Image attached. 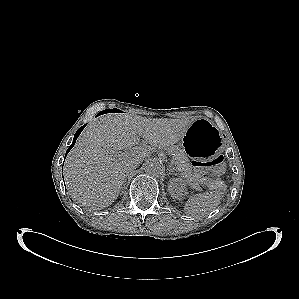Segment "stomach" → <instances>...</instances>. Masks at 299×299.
Masks as SVG:
<instances>
[{
    "label": "stomach",
    "mask_w": 299,
    "mask_h": 299,
    "mask_svg": "<svg viewBox=\"0 0 299 299\" xmlns=\"http://www.w3.org/2000/svg\"><path fill=\"white\" fill-rule=\"evenodd\" d=\"M183 144L191 159L206 161L221 149L222 141L219 130L211 120L197 118L183 136Z\"/></svg>",
    "instance_id": "1"
}]
</instances>
